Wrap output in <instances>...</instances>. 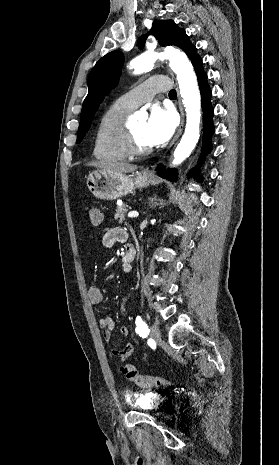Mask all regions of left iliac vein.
Wrapping results in <instances>:
<instances>
[{
  "label": "left iliac vein",
  "instance_id": "4c4485c4",
  "mask_svg": "<svg viewBox=\"0 0 279 465\" xmlns=\"http://www.w3.org/2000/svg\"><path fill=\"white\" fill-rule=\"evenodd\" d=\"M150 337L156 342L161 341L160 330H159L158 326L155 325V324L151 325V327H150Z\"/></svg>",
  "mask_w": 279,
  "mask_h": 465
}]
</instances>
